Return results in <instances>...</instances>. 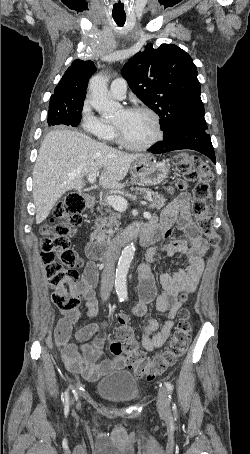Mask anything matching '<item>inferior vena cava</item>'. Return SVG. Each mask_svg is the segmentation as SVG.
Returning a JSON list of instances; mask_svg holds the SVG:
<instances>
[{
	"mask_svg": "<svg viewBox=\"0 0 250 454\" xmlns=\"http://www.w3.org/2000/svg\"><path fill=\"white\" fill-rule=\"evenodd\" d=\"M115 265L114 257L111 254L108 261L105 264L103 270L102 279H101V297L103 301H106L113 289L114 279H115Z\"/></svg>",
	"mask_w": 250,
	"mask_h": 454,
	"instance_id": "obj_1",
	"label": "inferior vena cava"
}]
</instances>
